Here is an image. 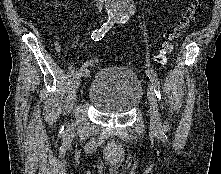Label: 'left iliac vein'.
I'll return each mask as SVG.
<instances>
[{"mask_svg":"<svg viewBox=\"0 0 221 174\" xmlns=\"http://www.w3.org/2000/svg\"><path fill=\"white\" fill-rule=\"evenodd\" d=\"M147 96L150 107V127L153 131H158L161 129L162 125H161L160 114L158 111L156 94L151 84L148 85Z\"/></svg>","mask_w":221,"mask_h":174,"instance_id":"obj_1","label":"left iliac vein"}]
</instances>
